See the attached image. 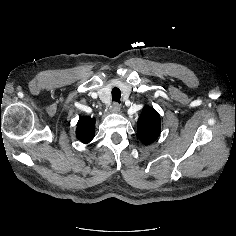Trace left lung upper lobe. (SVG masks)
Instances as JSON below:
<instances>
[{
    "instance_id": "1",
    "label": "left lung upper lobe",
    "mask_w": 236,
    "mask_h": 236,
    "mask_svg": "<svg viewBox=\"0 0 236 236\" xmlns=\"http://www.w3.org/2000/svg\"><path fill=\"white\" fill-rule=\"evenodd\" d=\"M137 124L138 137L145 145L154 142L161 132L160 115L150 106L144 107Z\"/></svg>"
}]
</instances>
